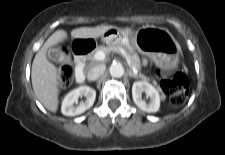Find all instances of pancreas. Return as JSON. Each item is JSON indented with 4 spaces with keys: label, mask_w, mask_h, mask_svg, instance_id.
I'll return each mask as SVG.
<instances>
[{
    "label": "pancreas",
    "mask_w": 225,
    "mask_h": 155,
    "mask_svg": "<svg viewBox=\"0 0 225 155\" xmlns=\"http://www.w3.org/2000/svg\"><path fill=\"white\" fill-rule=\"evenodd\" d=\"M98 51H103L105 53H109L111 51L121 53L125 58H127L129 60L131 66H134L139 71L141 69L140 58L137 55V53L135 51H132V52L128 51L124 46H122L119 43L110 44L108 46H99L96 48L95 53ZM95 53L93 54L92 58H94ZM138 76L143 81H149V79L142 73H139ZM160 92H161L162 99H165V94L161 90H160Z\"/></svg>",
    "instance_id": "cf45deb5"
}]
</instances>
